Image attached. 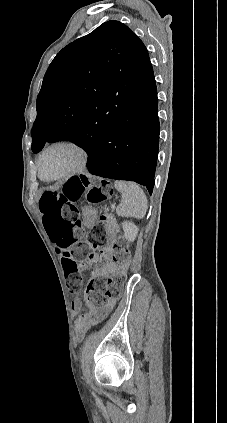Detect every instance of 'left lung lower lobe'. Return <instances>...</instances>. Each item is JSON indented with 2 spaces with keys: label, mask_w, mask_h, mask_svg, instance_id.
Wrapping results in <instances>:
<instances>
[{
  "label": "left lung lower lobe",
  "mask_w": 227,
  "mask_h": 423,
  "mask_svg": "<svg viewBox=\"0 0 227 423\" xmlns=\"http://www.w3.org/2000/svg\"><path fill=\"white\" fill-rule=\"evenodd\" d=\"M160 124L155 82L140 112H108L94 134L74 143L88 153L93 175L130 180L146 186L151 194L159 147Z\"/></svg>",
  "instance_id": "0a47b994"
}]
</instances>
